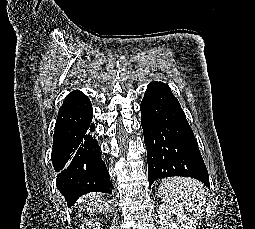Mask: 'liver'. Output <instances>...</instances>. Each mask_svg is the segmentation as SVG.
Masks as SVG:
<instances>
[{"label":"liver","instance_id":"obj_1","mask_svg":"<svg viewBox=\"0 0 255 229\" xmlns=\"http://www.w3.org/2000/svg\"><path fill=\"white\" fill-rule=\"evenodd\" d=\"M98 198V196H94V195H92V194H89V195H87V196H85L82 200H81V203L82 204H90L91 202H92V200L93 199H97Z\"/></svg>","mask_w":255,"mask_h":229}]
</instances>
